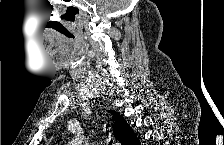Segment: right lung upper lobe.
I'll use <instances>...</instances> for the list:
<instances>
[{"label":"right lung upper lobe","mask_w":224,"mask_h":145,"mask_svg":"<svg viewBox=\"0 0 224 145\" xmlns=\"http://www.w3.org/2000/svg\"><path fill=\"white\" fill-rule=\"evenodd\" d=\"M110 112L113 114V132L116 139L122 145H137L139 143V140L137 139L132 128L128 125L126 120L119 113L114 111Z\"/></svg>","instance_id":"cb5924a9"}]
</instances>
